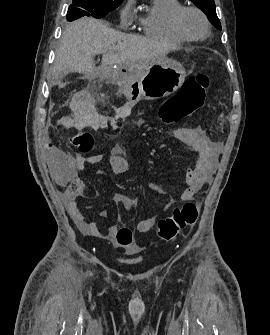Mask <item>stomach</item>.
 <instances>
[{
  "label": "stomach",
  "mask_w": 270,
  "mask_h": 335,
  "mask_svg": "<svg viewBox=\"0 0 270 335\" xmlns=\"http://www.w3.org/2000/svg\"><path fill=\"white\" fill-rule=\"evenodd\" d=\"M126 72L117 70V76ZM130 77L121 80L122 92L130 106L141 100H158L177 92L185 82L186 72L182 64L169 58H154L147 64L142 74L139 70H130Z\"/></svg>",
  "instance_id": "obj_1"
}]
</instances>
